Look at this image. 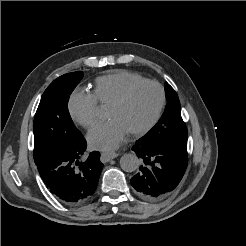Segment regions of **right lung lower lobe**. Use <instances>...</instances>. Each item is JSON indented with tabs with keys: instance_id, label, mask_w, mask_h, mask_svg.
<instances>
[{
	"instance_id": "obj_1",
	"label": "right lung lower lobe",
	"mask_w": 246,
	"mask_h": 246,
	"mask_svg": "<svg viewBox=\"0 0 246 246\" xmlns=\"http://www.w3.org/2000/svg\"><path fill=\"white\" fill-rule=\"evenodd\" d=\"M86 140L81 136L69 146L54 148L38 158L35 164L50 192L62 203L80 204L95 192L103 164L100 153L91 152L81 162Z\"/></svg>"
}]
</instances>
